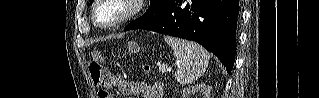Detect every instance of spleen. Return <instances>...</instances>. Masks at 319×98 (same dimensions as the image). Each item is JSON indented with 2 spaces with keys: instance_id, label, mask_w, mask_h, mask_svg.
Returning <instances> with one entry per match:
<instances>
[{
  "instance_id": "1",
  "label": "spleen",
  "mask_w": 319,
  "mask_h": 98,
  "mask_svg": "<svg viewBox=\"0 0 319 98\" xmlns=\"http://www.w3.org/2000/svg\"><path fill=\"white\" fill-rule=\"evenodd\" d=\"M164 40L177 59L175 78L180 84L192 83L204 74L210 59L204 48L194 42L168 36Z\"/></svg>"
}]
</instances>
